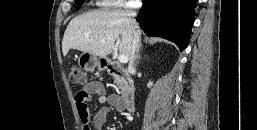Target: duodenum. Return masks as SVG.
I'll use <instances>...</instances> for the list:
<instances>
[{
    "label": "duodenum",
    "instance_id": "410a0bca",
    "mask_svg": "<svg viewBox=\"0 0 257 130\" xmlns=\"http://www.w3.org/2000/svg\"><path fill=\"white\" fill-rule=\"evenodd\" d=\"M102 67L120 82L122 109L128 112L132 111L135 102V88L127 70L109 59L103 61Z\"/></svg>",
    "mask_w": 257,
    "mask_h": 130
}]
</instances>
